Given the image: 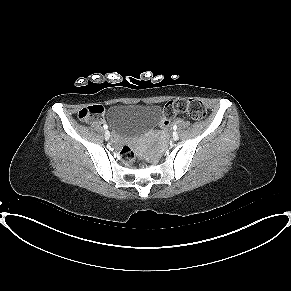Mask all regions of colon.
Returning a JSON list of instances; mask_svg holds the SVG:
<instances>
[{
	"mask_svg": "<svg viewBox=\"0 0 291 291\" xmlns=\"http://www.w3.org/2000/svg\"><path fill=\"white\" fill-rule=\"evenodd\" d=\"M103 107L101 105H91L82 108L78 112V117L83 121L101 120L103 118ZM176 114H187L193 119L199 120L206 116V109L203 103L196 99H175L167 102L163 108V118L160 123L162 129H166L169 121ZM121 158L129 163L134 159V152L128 145H124L121 149Z\"/></svg>",
	"mask_w": 291,
	"mask_h": 291,
	"instance_id": "colon-1",
	"label": "colon"
}]
</instances>
